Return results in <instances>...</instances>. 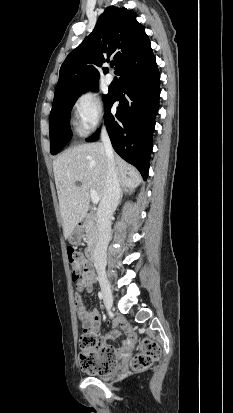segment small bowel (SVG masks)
Listing matches in <instances>:
<instances>
[{"mask_svg":"<svg viewBox=\"0 0 233 413\" xmlns=\"http://www.w3.org/2000/svg\"><path fill=\"white\" fill-rule=\"evenodd\" d=\"M77 289L80 293L81 292L91 293L94 289L93 276H91L90 278L86 280L79 281L77 283ZM80 293H76L74 296L78 318L82 324L84 332L95 334L100 330V327L102 324V316L96 308L88 309L85 306L83 299H82V295ZM121 330L127 333H130V327L125 322V320L119 317H115L113 319V329L107 334L100 336L98 338L100 348L102 349L112 348L108 345V342L112 339H115L120 334ZM127 345H129V343ZM125 350L126 348H121V349L114 350V351L116 354H123Z\"/></svg>","mask_w":233,"mask_h":413,"instance_id":"c3829d8e","label":"small bowel"}]
</instances>
